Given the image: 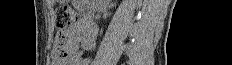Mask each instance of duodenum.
Listing matches in <instances>:
<instances>
[{"label":"duodenum","mask_w":232,"mask_h":65,"mask_svg":"<svg viewBox=\"0 0 232 65\" xmlns=\"http://www.w3.org/2000/svg\"><path fill=\"white\" fill-rule=\"evenodd\" d=\"M76 6L83 16V18H82L83 24L85 25V27L87 28L89 33L94 34L95 33V25H94V22L91 18V11H90V7H89L88 2L83 1V0L77 1Z\"/></svg>","instance_id":"1"}]
</instances>
